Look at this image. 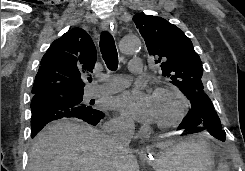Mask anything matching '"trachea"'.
I'll return each mask as SVG.
<instances>
[{"label":"trachea","instance_id":"3493384b","mask_svg":"<svg viewBox=\"0 0 245 171\" xmlns=\"http://www.w3.org/2000/svg\"><path fill=\"white\" fill-rule=\"evenodd\" d=\"M100 51L107 68L111 71H115L118 67V54L114 39L107 31L101 33ZM88 80L92 81V78H89Z\"/></svg>","mask_w":245,"mask_h":171}]
</instances>
